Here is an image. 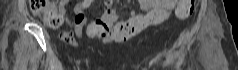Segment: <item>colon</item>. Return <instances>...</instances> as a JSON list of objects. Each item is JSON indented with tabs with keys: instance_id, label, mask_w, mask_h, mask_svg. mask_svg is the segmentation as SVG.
<instances>
[{
	"instance_id": "5ec220e1",
	"label": "colon",
	"mask_w": 238,
	"mask_h": 70,
	"mask_svg": "<svg viewBox=\"0 0 238 70\" xmlns=\"http://www.w3.org/2000/svg\"><path fill=\"white\" fill-rule=\"evenodd\" d=\"M30 9L40 16L50 28H59L64 22V14L50 0H30ZM195 8V0H179L175 14L180 19L188 18Z\"/></svg>"
}]
</instances>
